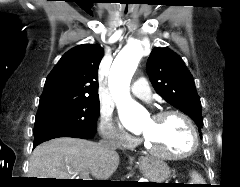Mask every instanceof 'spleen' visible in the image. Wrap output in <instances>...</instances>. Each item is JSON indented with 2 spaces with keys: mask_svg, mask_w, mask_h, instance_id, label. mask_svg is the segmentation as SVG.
Here are the masks:
<instances>
[{
  "mask_svg": "<svg viewBox=\"0 0 240 187\" xmlns=\"http://www.w3.org/2000/svg\"><path fill=\"white\" fill-rule=\"evenodd\" d=\"M191 179H192V182H194V184H204L203 179L196 172L191 173Z\"/></svg>",
  "mask_w": 240,
  "mask_h": 187,
  "instance_id": "3e777b00",
  "label": "spleen"
}]
</instances>
